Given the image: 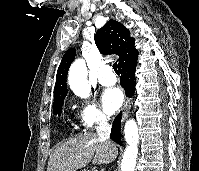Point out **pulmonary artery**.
Instances as JSON below:
<instances>
[{
    "label": "pulmonary artery",
    "instance_id": "obj_1",
    "mask_svg": "<svg viewBox=\"0 0 199 171\" xmlns=\"http://www.w3.org/2000/svg\"><path fill=\"white\" fill-rule=\"evenodd\" d=\"M98 81L104 86L116 83L117 79L109 65H103L98 71Z\"/></svg>",
    "mask_w": 199,
    "mask_h": 171
}]
</instances>
